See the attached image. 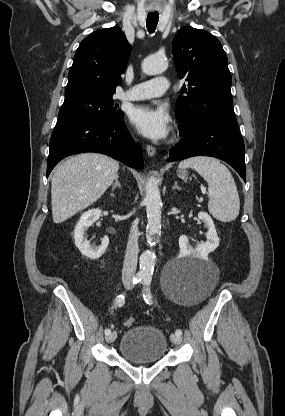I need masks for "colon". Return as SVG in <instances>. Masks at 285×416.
<instances>
[{
	"mask_svg": "<svg viewBox=\"0 0 285 416\" xmlns=\"http://www.w3.org/2000/svg\"><path fill=\"white\" fill-rule=\"evenodd\" d=\"M134 323H135V319H134V318H132V317H129V318H127V319L124 321V325H125L126 327H131V326H133V325H134Z\"/></svg>",
	"mask_w": 285,
	"mask_h": 416,
	"instance_id": "colon-1",
	"label": "colon"
}]
</instances>
